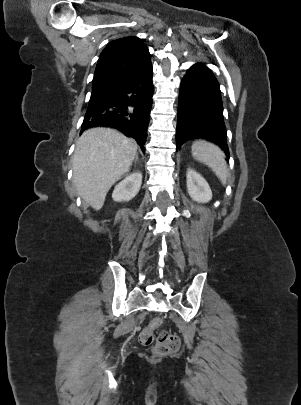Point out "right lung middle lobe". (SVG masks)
I'll return each instance as SVG.
<instances>
[{
    "mask_svg": "<svg viewBox=\"0 0 301 405\" xmlns=\"http://www.w3.org/2000/svg\"><path fill=\"white\" fill-rule=\"evenodd\" d=\"M110 95H111V93H108V92L92 93L88 107L101 103L106 98H108Z\"/></svg>",
    "mask_w": 301,
    "mask_h": 405,
    "instance_id": "obj_1",
    "label": "right lung middle lobe"
}]
</instances>
